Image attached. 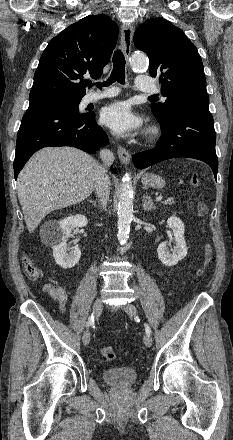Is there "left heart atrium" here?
I'll use <instances>...</instances> for the list:
<instances>
[{
  "label": "left heart atrium",
  "instance_id": "39dd6f15",
  "mask_svg": "<svg viewBox=\"0 0 233 440\" xmlns=\"http://www.w3.org/2000/svg\"><path fill=\"white\" fill-rule=\"evenodd\" d=\"M102 121L118 134H128L139 130L142 126V119L126 102H117L105 108Z\"/></svg>",
  "mask_w": 233,
  "mask_h": 440
}]
</instances>
